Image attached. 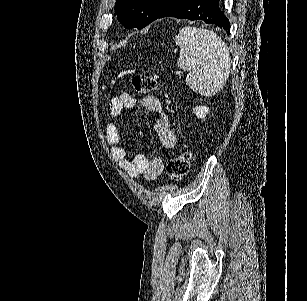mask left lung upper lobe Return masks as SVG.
I'll return each mask as SVG.
<instances>
[{"label":"left lung upper lobe","instance_id":"5c2ea615","mask_svg":"<svg viewBox=\"0 0 307 301\" xmlns=\"http://www.w3.org/2000/svg\"><path fill=\"white\" fill-rule=\"evenodd\" d=\"M176 0H117L115 15L128 29H141L156 20Z\"/></svg>","mask_w":307,"mask_h":301}]
</instances>
